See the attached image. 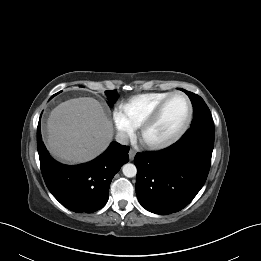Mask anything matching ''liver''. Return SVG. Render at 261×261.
<instances>
[{
    "label": "liver",
    "mask_w": 261,
    "mask_h": 261,
    "mask_svg": "<svg viewBox=\"0 0 261 261\" xmlns=\"http://www.w3.org/2000/svg\"><path fill=\"white\" fill-rule=\"evenodd\" d=\"M50 152L69 163H83L100 155L110 144L113 125L101 104L90 97L67 100L48 118Z\"/></svg>",
    "instance_id": "liver-1"
}]
</instances>
